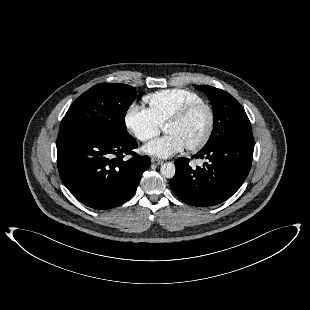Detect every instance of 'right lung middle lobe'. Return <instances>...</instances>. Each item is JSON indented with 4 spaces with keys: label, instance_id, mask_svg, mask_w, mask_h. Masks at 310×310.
<instances>
[{
    "label": "right lung middle lobe",
    "instance_id": "right-lung-middle-lobe-1",
    "mask_svg": "<svg viewBox=\"0 0 310 310\" xmlns=\"http://www.w3.org/2000/svg\"><path fill=\"white\" fill-rule=\"evenodd\" d=\"M136 90L126 84L101 83L79 96L61 121L59 132L87 130L111 138L128 137L125 115L136 97Z\"/></svg>",
    "mask_w": 310,
    "mask_h": 310
}]
</instances>
